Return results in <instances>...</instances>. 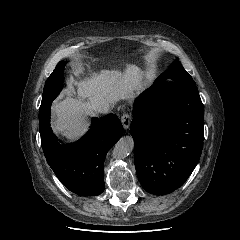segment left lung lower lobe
Listing matches in <instances>:
<instances>
[{
    "label": "left lung lower lobe",
    "mask_w": 240,
    "mask_h": 240,
    "mask_svg": "<svg viewBox=\"0 0 240 240\" xmlns=\"http://www.w3.org/2000/svg\"><path fill=\"white\" fill-rule=\"evenodd\" d=\"M204 109L196 84L156 82L134 103L130 134L142 187L154 195L179 188L202 152Z\"/></svg>",
    "instance_id": "1"
}]
</instances>
